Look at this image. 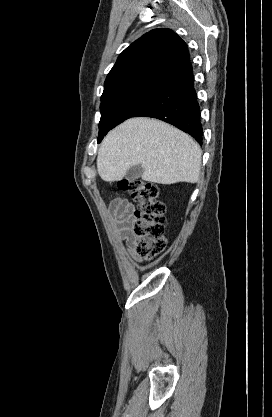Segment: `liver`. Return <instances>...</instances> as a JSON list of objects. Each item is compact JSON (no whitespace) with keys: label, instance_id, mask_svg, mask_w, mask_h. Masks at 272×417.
<instances>
[{"label":"liver","instance_id":"obj_1","mask_svg":"<svg viewBox=\"0 0 272 417\" xmlns=\"http://www.w3.org/2000/svg\"><path fill=\"white\" fill-rule=\"evenodd\" d=\"M202 151L186 133L162 121L131 118L102 141L97 170L102 180H121L134 165L143 167L142 179L158 184L196 183Z\"/></svg>","mask_w":272,"mask_h":417}]
</instances>
